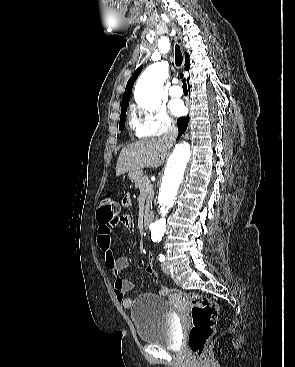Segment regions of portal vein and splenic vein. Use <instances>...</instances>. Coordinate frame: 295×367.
<instances>
[{"label":"portal vein and splenic vein","mask_w":295,"mask_h":367,"mask_svg":"<svg viewBox=\"0 0 295 367\" xmlns=\"http://www.w3.org/2000/svg\"><path fill=\"white\" fill-rule=\"evenodd\" d=\"M152 188H151V186H146V191H150Z\"/></svg>","instance_id":"obj_1"}]
</instances>
